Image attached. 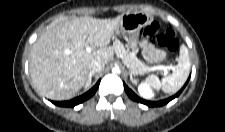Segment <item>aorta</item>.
Wrapping results in <instances>:
<instances>
[{
	"label": "aorta",
	"instance_id": "1",
	"mask_svg": "<svg viewBox=\"0 0 225 132\" xmlns=\"http://www.w3.org/2000/svg\"><path fill=\"white\" fill-rule=\"evenodd\" d=\"M115 73H120V70L119 69H115Z\"/></svg>",
	"mask_w": 225,
	"mask_h": 132
}]
</instances>
